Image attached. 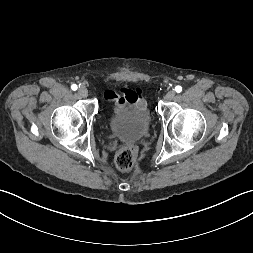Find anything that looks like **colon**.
I'll return each mask as SVG.
<instances>
[{
    "label": "colon",
    "mask_w": 253,
    "mask_h": 253,
    "mask_svg": "<svg viewBox=\"0 0 253 253\" xmlns=\"http://www.w3.org/2000/svg\"><path fill=\"white\" fill-rule=\"evenodd\" d=\"M115 163L120 171H130L135 163V153L133 147L130 145L122 147L116 155Z\"/></svg>",
    "instance_id": "1"
}]
</instances>
